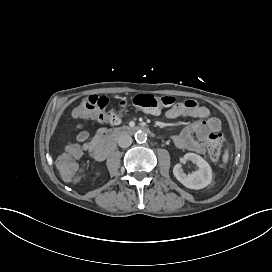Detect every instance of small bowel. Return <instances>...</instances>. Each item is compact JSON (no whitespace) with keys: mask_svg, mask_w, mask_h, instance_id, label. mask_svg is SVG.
I'll list each match as a JSON object with an SVG mask.
<instances>
[{"mask_svg":"<svg viewBox=\"0 0 272 272\" xmlns=\"http://www.w3.org/2000/svg\"><path fill=\"white\" fill-rule=\"evenodd\" d=\"M168 119L192 117L198 121L187 124L180 133L173 136L174 146L180 150L193 151L199 154L208 152L207 135L211 132L220 133L222 124L216 117L210 116V110L192 99L177 102L164 112ZM100 133V132H99ZM196 136V138L194 137ZM78 144L73 146L80 150L81 155L86 153L94 158V151L97 147L98 137L89 140L87 131L78 133Z\"/></svg>","mask_w":272,"mask_h":272,"instance_id":"c3829d8e","label":"small bowel"}]
</instances>
